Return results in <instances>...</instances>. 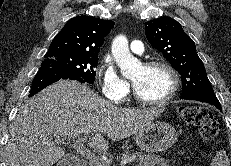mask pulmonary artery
<instances>
[{"label":"pulmonary artery","mask_w":231,"mask_h":166,"mask_svg":"<svg viewBox=\"0 0 231 166\" xmlns=\"http://www.w3.org/2000/svg\"><path fill=\"white\" fill-rule=\"evenodd\" d=\"M131 52L141 55L144 53V44L142 41L134 40L129 45Z\"/></svg>","instance_id":"pulmonary-artery-1"}]
</instances>
